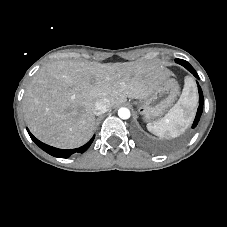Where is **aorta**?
<instances>
[{"label": "aorta", "instance_id": "aorta-1", "mask_svg": "<svg viewBox=\"0 0 227 227\" xmlns=\"http://www.w3.org/2000/svg\"><path fill=\"white\" fill-rule=\"evenodd\" d=\"M130 110L128 108H125V107H122L118 110V116L121 118V119H129L130 118Z\"/></svg>", "mask_w": 227, "mask_h": 227}]
</instances>
